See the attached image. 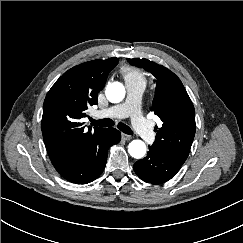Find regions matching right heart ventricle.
I'll use <instances>...</instances> for the list:
<instances>
[{"mask_svg":"<svg viewBox=\"0 0 243 243\" xmlns=\"http://www.w3.org/2000/svg\"><path fill=\"white\" fill-rule=\"evenodd\" d=\"M122 76L126 83L128 82H140L145 84L144 74L133 66H123L121 69Z\"/></svg>","mask_w":243,"mask_h":243,"instance_id":"obj_1","label":"right heart ventricle"}]
</instances>
